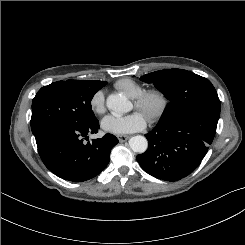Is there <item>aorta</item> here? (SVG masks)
Segmentation results:
<instances>
[{"instance_id":"1","label":"aorta","mask_w":245,"mask_h":245,"mask_svg":"<svg viewBox=\"0 0 245 245\" xmlns=\"http://www.w3.org/2000/svg\"><path fill=\"white\" fill-rule=\"evenodd\" d=\"M106 103L114 116H121L128 111V100L124 95L111 94ZM129 146L134 152L144 153L147 150L148 142L144 136L137 135L129 139Z\"/></svg>"}]
</instances>
